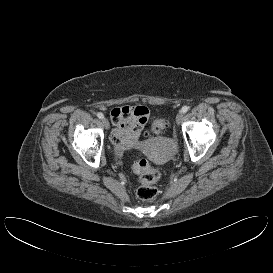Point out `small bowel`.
<instances>
[{"label": "small bowel", "mask_w": 273, "mask_h": 273, "mask_svg": "<svg viewBox=\"0 0 273 273\" xmlns=\"http://www.w3.org/2000/svg\"><path fill=\"white\" fill-rule=\"evenodd\" d=\"M115 126L111 139L118 155L128 146L136 145L147 124L149 110L144 106H123L113 108L110 113Z\"/></svg>", "instance_id": "obj_1"}]
</instances>
